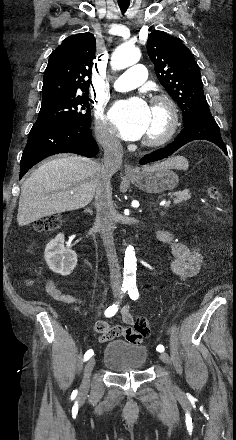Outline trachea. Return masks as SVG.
Returning a JSON list of instances; mask_svg holds the SVG:
<instances>
[{
	"label": "trachea",
	"mask_w": 236,
	"mask_h": 440,
	"mask_svg": "<svg viewBox=\"0 0 236 440\" xmlns=\"http://www.w3.org/2000/svg\"><path fill=\"white\" fill-rule=\"evenodd\" d=\"M118 5H119V8H120L121 12L125 13L127 11L128 7H129L130 3H121V2H119Z\"/></svg>",
	"instance_id": "1"
}]
</instances>
